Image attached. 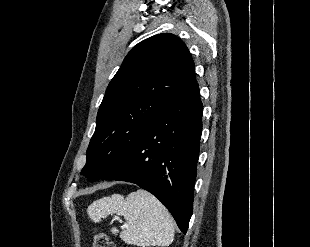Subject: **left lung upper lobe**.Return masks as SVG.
<instances>
[{
  "label": "left lung upper lobe",
  "instance_id": "left-lung-upper-lobe-1",
  "mask_svg": "<svg viewBox=\"0 0 310 247\" xmlns=\"http://www.w3.org/2000/svg\"><path fill=\"white\" fill-rule=\"evenodd\" d=\"M195 83L194 61L180 38L162 33L138 43L107 87L81 174L96 181L120 164Z\"/></svg>",
  "mask_w": 310,
  "mask_h": 247
}]
</instances>
